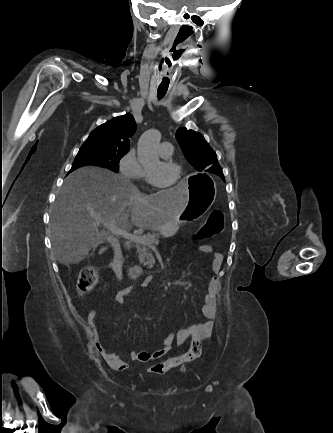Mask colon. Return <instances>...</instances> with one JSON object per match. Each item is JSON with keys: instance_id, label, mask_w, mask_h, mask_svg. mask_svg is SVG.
Instances as JSON below:
<instances>
[{"instance_id": "obj_1", "label": "colon", "mask_w": 333, "mask_h": 433, "mask_svg": "<svg viewBox=\"0 0 333 433\" xmlns=\"http://www.w3.org/2000/svg\"><path fill=\"white\" fill-rule=\"evenodd\" d=\"M224 228V215L219 209L211 211L204 225L195 234L194 239L204 241L213 238L222 232ZM99 281V271L96 267H84L77 279V290L80 293L91 291ZM202 354L201 339L197 336L193 337L188 350L180 355L169 357L164 361H160L149 367L148 371L153 374L163 375L170 369L177 367L182 363L192 362L198 359Z\"/></svg>"}]
</instances>
